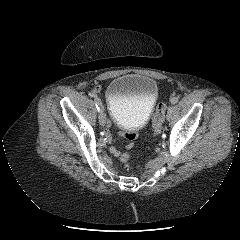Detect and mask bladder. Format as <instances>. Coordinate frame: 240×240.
<instances>
[{
    "mask_svg": "<svg viewBox=\"0 0 240 240\" xmlns=\"http://www.w3.org/2000/svg\"><path fill=\"white\" fill-rule=\"evenodd\" d=\"M158 97L154 79L125 74L112 80L106 91L108 108L122 129L137 130L149 119Z\"/></svg>",
    "mask_w": 240,
    "mask_h": 240,
    "instance_id": "obj_1",
    "label": "bladder"
}]
</instances>
